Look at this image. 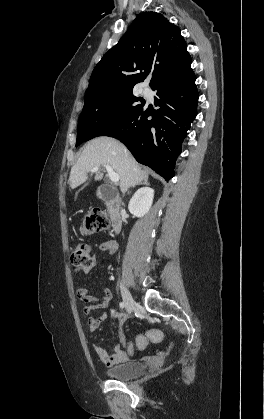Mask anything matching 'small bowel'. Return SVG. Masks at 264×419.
I'll return each mask as SVG.
<instances>
[{
    "label": "small bowel",
    "mask_w": 264,
    "mask_h": 419,
    "mask_svg": "<svg viewBox=\"0 0 264 419\" xmlns=\"http://www.w3.org/2000/svg\"><path fill=\"white\" fill-rule=\"evenodd\" d=\"M98 249L102 252H106L110 255H113L116 252V244L112 240H103L99 243ZM94 266V262L91 267L89 268H77L75 270V276L79 277L82 274H86L89 272V270ZM78 297L80 300L84 302H92L95 299L89 294V290L83 287H80L77 291ZM112 299V293L109 289L105 288L103 289V297L100 300L98 304L95 305L96 309L102 310V312L99 314V316L94 317L90 316L88 317V326L89 330L91 332H94L99 329L102 322L106 319L107 314L104 311L110 301ZM92 310L91 306H85L83 308V312L86 315H89ZM111 315L113 319L117 323L116 327V333L119 338V344L115 346L112 353H108L106 350L95 346L96 353L99 357V359L106 365V366H115L121 363H124L128 360L129 356L133 355L135 351L131 348L130 343L127 342L126 336L123 331V323L126 320V315L123 313L116 312L114 310H111ZM156 333L157 337L154 342H159L162 339V332L160 330H152Z\"/></svg>",
    "instance_id": "obj_1"
}]
</instances>
